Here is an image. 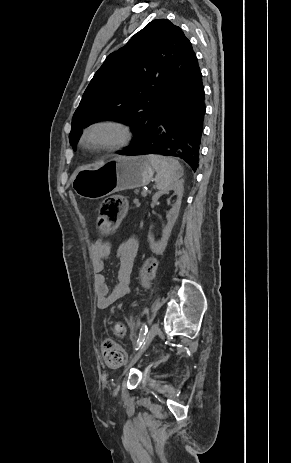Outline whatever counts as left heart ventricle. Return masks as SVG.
Returning <instances> with one entry per match:
<instances>
[{
	"instance_id": "1",
	"label": "left heart ventricle",
	"mask_w": 291,
	"mask_h": 463,
	"mask_svg": "<svg viewBox=\"0 0 291 463\" xmlns=\"http://www.w3.org/2000/svg\"><path fill=\"white\" fill-rule=\"evenodd\" d=\"M110 133L108 131H100L96 134L97 138H103V137H108Z\"/></svg>"
}]
</instances>
